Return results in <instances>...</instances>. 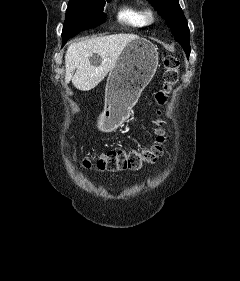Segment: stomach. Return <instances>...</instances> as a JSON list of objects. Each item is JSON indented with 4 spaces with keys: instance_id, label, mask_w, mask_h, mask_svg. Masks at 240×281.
<instances>
[{
    "instance_id": "obj_1",
    "label": "stomach",
    "mask_w": 240,
    "mask_h": 281,
    "mask_svg": "<svg viewBox=\"0 0 240 281\" xmlns=\"http://www.w3.org/2000/svg\"><path fill=\"white\" fill-rule=\"evenodd\" d=\"M157 66V48L149 40L138 37L125 46L107 79L105 107L97 120L100 130L112 131L122 122Z\"/></svg>"
}]
</instances>
